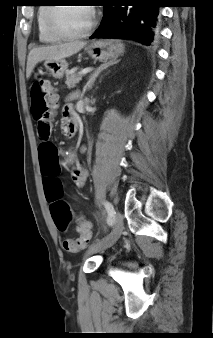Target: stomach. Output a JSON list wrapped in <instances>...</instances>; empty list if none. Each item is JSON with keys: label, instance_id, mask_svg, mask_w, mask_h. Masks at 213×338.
Returning a JSON list of instances; mask_svg holds the SVG:
<instances>
[{"label": "stomach", "instance_id": "obj_1", "mask_svg": "<svg viewBox=\"0 0 213 338\" xmlns=\"http://www.w3.org/2000/svg\"><path fill=\"white\" fill-rule=\"evenodd\" d=\"M88 55L94 60H108L117 58L124 52V45L117 40H97L88 44L85 48ZM44 66L55 79L63 77L68 63L64 60H46Z\"/></svg>", "mask_w": 213, "mask_h": 338}]
</instances>
